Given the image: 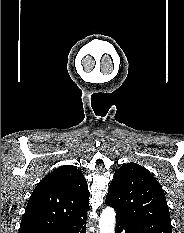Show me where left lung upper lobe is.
<instances>
[{
    "instance_id": "1",
    "label": "left lung upper lobe",
    "mask_w": 184,
    "mask_h": 233,
    "mask_svg": "<svg viewBox=\"0 0 184 233\" xmlns=\"http://www.w3.org/2000/svg\"><path fill=\"white\" fill-rule=\"evenodd\" d=\"M105 203L139 233H172L161 185L136 163L123 164L115 171Z\"/></svg>"
}]
</instances>
